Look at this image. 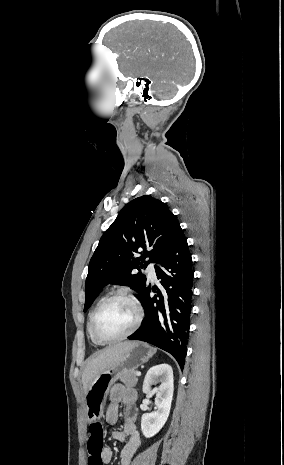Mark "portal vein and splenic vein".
<instances>
[{
    "label": "portal vein and splenic vein",
    "mask_w": 284,
    "mask_h": 465,
    "mask_svg": "<svg viewBox=\"0 0 284 465\" xmlns=\"http://www.w3.org/2000/svg\"><path fill=\"white\" fill-rule=\"evenodd\" d=\"M136 375H137V377H140V375H141L140 371H137Z\"/></svg>",
    "instance_id": "18ae733b"
}]
</instances>
